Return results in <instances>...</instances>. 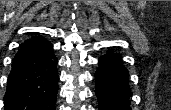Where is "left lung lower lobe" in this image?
<instances>
[{"label":"left lung lower lobe","mask_w":171,"mask_h":110,"mask_svg":"<svg viewBox=\"0 0 171 110\" xmlns=\"http://www.w3.org/2000/svg\"><path fill=\"white\" fill-rule=\"evenodd\" d=\"M121 59V55L113 50L99 58L95 74L99 110H131L129 74Z\"/></svg>","instance_id":"left-lung-lower-lobe-1"}]
</instances>
